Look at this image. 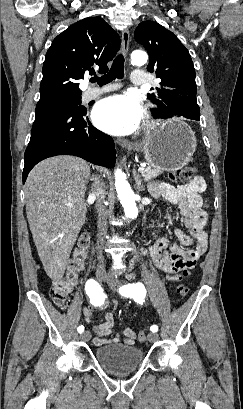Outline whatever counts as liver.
I'll return each instance as SVG.
<instances>
[{
    "mask_svg": "<svg viewBox=\"0 0 243 409\" xmlns=\"http://www.w3.org/2000/svg\"><path fill=\"white\" fill-rule=\"evenodd\" d=\"M89 164L61 155L38 163L25 183L26 215L47 275L60 281L85 222Z\"/></svg>",
    "mask_w": 243,
    "mask_h": 409,
    "instance_id": "liver-1",
    "label": "liver"
}]
</instances>
